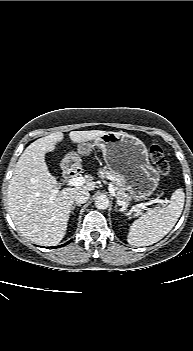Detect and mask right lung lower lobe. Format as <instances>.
<instances>
[{"mask_svg": "<svg viewBox=\"0 0 193 351\" xmlns=\"http://www.w3.org/2000/svg\"><path fill=\"white\" fill-rule=\"evenodd\" d=\"M70 242H71V240H70V241H68L67 243L63 244V245H60V246H55V247H52V248L62 247V246H65V245L69 244Z\"/></svg>", "mask_w": 193, "mask_h": 351, "instance_id": "obj_1", "label": "right lung lower lobe"}]
</instances>
